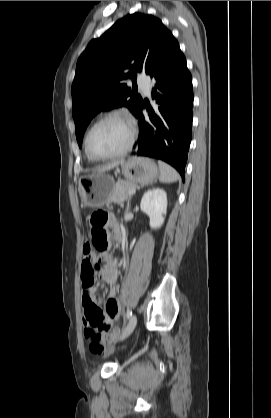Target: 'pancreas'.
Returning <instances> with one entry per match:
<instances>
[{
    "label": "pancreas",
    "mask_w": 271,
    "mask_h": 418,
    "mask_svg": "<svg viewBox=\"0 0 271 418\" xmlns=\"http://www.w3.org/2000/svg\"><path fill=\"white\" fill-rule=\"evenodd\" d=\"M135 188L136 185L134 183L122 180L118 181L114 185L112 195L107 205H109L111 202L122 204L125 200H129L132 196V194H129V192Z\"/></svg>",
    "instance_id": "pancreas-1"
}]
</instances>
